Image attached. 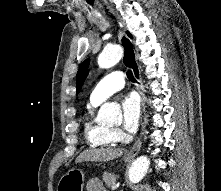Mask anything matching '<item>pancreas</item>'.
Instances as JSON below:
<instances>
[{"instance_id": "pancreas-1", "label": "pancreas", "mask_w": 221, "mask_h": 191, "mask_svg": "<svg viewBox=\"0 0 221 191\" xmlns=\"http://www.w3.org/2000/svg\"><path fill=\"white\" fill-rule=\"evenodd\" d=\"M117 179H118V175L109 174L107 172L103 174V181L107 187H112L115 184Z\"/></svg>"}]
</instances>
